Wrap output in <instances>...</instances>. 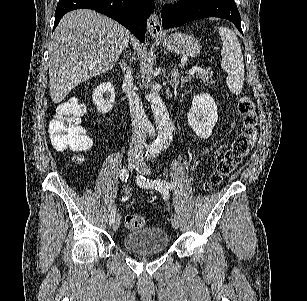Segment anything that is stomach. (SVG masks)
I'll return each instance as SVG.
<instances>
[{
  "label": "stomach",
  "mask_w": 307,
  "mask_h": 301,
  "mask_svg": "<svg viewBox=\"0 0 307 301\" xmlns=\"http://www.w3.org/2000/svg\"><path fill=\"white\" fill-rule=\"evenodd\" d=\"M158 42L175 54H187V56H198L201 50V44L195 36L187 32H172L169 36H156Z\"/></svg>",
  "instance_id": "obj_1"
}]
</instances>
